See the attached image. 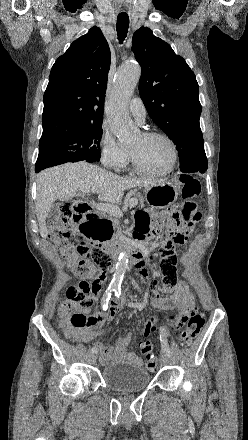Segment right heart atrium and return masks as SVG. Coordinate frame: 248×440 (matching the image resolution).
<instances>
[{
    "label": "right heart atrium",
    "instance_id": "right-heart-atrium-1",
    "mask_svg": "<svg viewBox=\"0 0 248 440\" xmlns=\"http://www.w3.org/2000/svg\"><path fill=\"white\" fill-rule=\"evenodd\" d=\"M99 145L101 159L106 166L120 169L127 164L130 156L129 150L117 142L107 127L102 129Z\"/></svg>",
    "mask_w": 248,
    "mask_h": 440
}]
</instances>
